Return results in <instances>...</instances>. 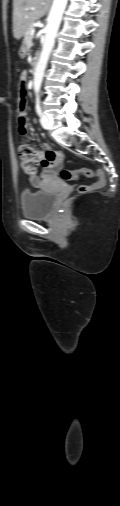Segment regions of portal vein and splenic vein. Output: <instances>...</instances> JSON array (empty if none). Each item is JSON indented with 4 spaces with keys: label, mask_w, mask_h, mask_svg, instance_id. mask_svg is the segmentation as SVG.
Listing matches in <instances>:
<instances>
[{
    "label": "portal vein and splenic vein",
    "mask_w": 120,
    "mask_h": 506,
    "mask_svg": "<svg viewBox=\"0 0 120 506\" xmlns=\"http://www.w3.org/2000/svg\"><path fill=\"white\" fill-rule=\"evenodd\" d=\"M34 9H35V8H31V10H34ZM34 33H35V29H32V30L30 31V34H31V35H34Z\"/></svg>",
    "instance_id": "portal-vein-and-splenic-vein-1"
}]
</instances>
